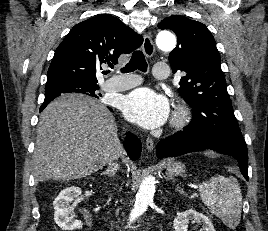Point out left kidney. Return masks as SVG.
I'll list each match as a JSON object with an SVG mask.
<instances>
[{
	"instance_id": "left-kidney-1",
	"label": "left kidney",
	"mask_w": 268,
	"mask_h": 231,
	"mask_svg": "<svg viewBox=\"0 0 268 231\" xmlns=\"http://www.w3.org/2000/svg\"><path fill=\"white\" fill-rule=\"evenodd\" d=\"M190 220L202 225L200 231H216L211 220L207 216L196 212L193 209L177 213V216L173 221L174 231H187Z\"/></svg>"
}]
</instances>
